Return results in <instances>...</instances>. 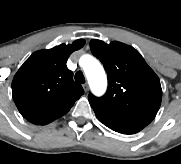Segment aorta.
<instances>
[{"mask_svg": "<svg viewBox=\"0 0 181 164\" xmlns=\"http://www.w3.org/2000/svg\"><path fill=\"white\" fill-rule=\"evenodd\" d=\"M84 73L88 80L90 89L96 96H101L107 88V77L101 63L90 55L84 56Z\"/></svg>", "mask_w": 181, "mask_h": 164, "instance_id": "762f6f07", "label": "aorta"}]
</instances>
